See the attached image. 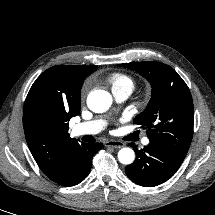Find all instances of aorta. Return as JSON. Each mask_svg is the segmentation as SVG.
I'll return each instance as SVG.
<instances>
[{
    "label": "aorta",
    "instance_id": "1",
    "mask_svg": "<svg viewBox=\"0 0 215 215\" xmlns=\"http://www.w3.org/2000/svg\"><path fill=\"white\" fill-rule=\"evenodd\" d=\"M112 104V96L104 90L92 91L87 97V105L90 110L96 113L105 112ZM135 154L130 148H122L118 152L120 163L129 165L134 161Z\"/></svg>",
    "mask_w": 215,
    "mask_h": 215
}]
</instances>
